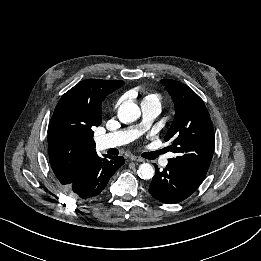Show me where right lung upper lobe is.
Listing matches in <instances>:
<instances>
[{"mask_svg": "<svg viewBox=\"0 0 261 261\" xmlns=\"http://www.w3.org/2000/svg\"><path fill=\"white\" fill-rule=\"evenodd\" d=\"M123 81L87 79L59 100L48 127V153L55 176L71 183L96 153L89 126L101 124V103Z\"/></svg>", "mask_w": 261, "mask_h": 261, "instance_id": "cb5924a9", "label": "right lung upper lobe"}]
</instances>
